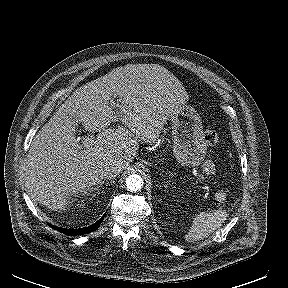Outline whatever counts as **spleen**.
Returning a JSON list of instances; mask_svg holds the SVG:
<instances>
[{
	"mask_svg": "<svg viewBox=\"0 0 288 288\" xmlns=\"http://www.w3.org/2000/svg\"><path fill=\"white\" fill-rule=\"evenodd\" d=\"M226 217V212L221 210L211 213L200 212L194 217L190 229L184 237L185 240L194 242L207 238L222 225Z\"/></svg>",
	"mask_w": 288,
	"mask_h": 288,
	"instance_id": "1",
	"label": "spleen"
}]
</instances>
